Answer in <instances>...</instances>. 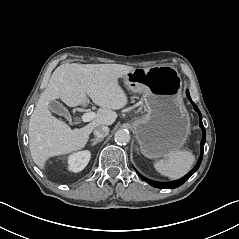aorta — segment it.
<instances>
[{
    "label": "aorta",
    "mask_w": 239,
    "mask_h": 239,
    "mask_svg": "<svg viewBox=\"0 0 239 239\" xmlns=\"http://www.w3.org/2000/svg\"><path fill=\"white\" fill-rule=\"evenodd\" d=\"M130 138L129 132L124 129L117 130L114 135L115 142L122 145L129 143Z\"/></svg>",
    "instance_id": "762f6f07"
}]
</instances>
